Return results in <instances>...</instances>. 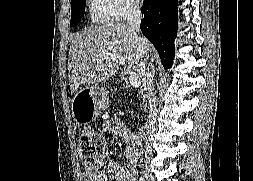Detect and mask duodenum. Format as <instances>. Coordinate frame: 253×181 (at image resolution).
Listing matches in <instances>:
<instances>
[{"instance_id":"duodenum-1","label":"duodenum","mask_w":253,"mask_h":181,"mask_svg":"<svg viewBox=\"0 0 253 181\" xmlns=\"http://www.w3.org/2000/svg\"><path fill=\"white\" fill-rule=\"evenodd\" d=\"M146 132H147V129H144V130L142 131V134L144 135Z\"/></svg>"}]
</instances>
